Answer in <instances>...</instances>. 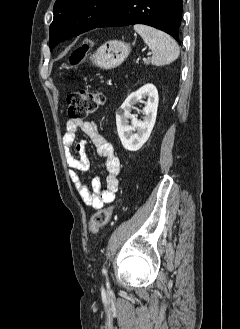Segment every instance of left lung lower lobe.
<instances>
[{
  "instance_id": "obj_1",
  "label": "left lung lower lobe",
  "mask_w": 240,
  "mask_h": 329,
  "mask_svg": "<svg viewBox=\"0 0 240 329\" xmlns=\"http://www.w3.org/2000/svg\"><path fill=\"white\" fill-rule=\"evenodd\" d=\"M183 0H121L97 27L145 24L180 42Z\"/></svg>"
}]
</instances>
